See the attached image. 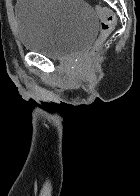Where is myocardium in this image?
<instances>
[{
	"label": "myocardium",
	"instance_id": "myocardium-1",
	"mask_svg": "<svg viewBox=\"0 0 140 196\" xmlns=\"http://www.w3.org/2000/svg\"><path fill=\"white\" fill-rule=\"evenodd\" d=\"M43 192H54V191H43Z\"/></svg>",
	"mask_w": 140,
	"mask_h": 196
}]
</instances>
